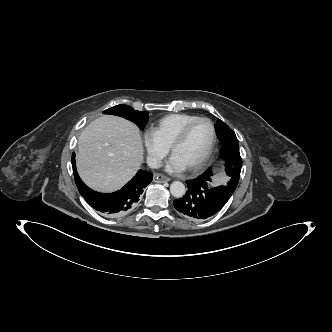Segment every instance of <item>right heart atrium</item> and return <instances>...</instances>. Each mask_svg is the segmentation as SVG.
<instances>
[{"label":"right heart atrium","instance_id":"1","mask_svg":"<svg viewBox=\"0 0 332 332\" xmlns=\"http://www.w3.org/2000/svg\"><path fill=\"white\" fill-rule=\"evenodd\" d=\"M143 145L147 163L151 167H158L162 159L168 153V148L158 140L151 130L145 131L143 135Z\"/></svg>","mask_w":332,"mask_h":332}]
</instances>
